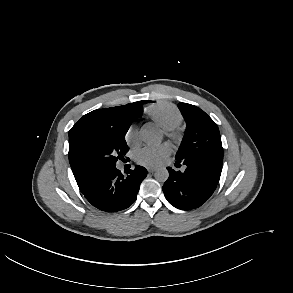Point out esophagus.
Here are the masks:
<instances>
[{"instance_id": "esophagus-1", "label": "esophagus", "mask_w": 293, "mask_h": 293, "mask_svg": "<svg viewBox=\"0 0 293 293\" xmlns=\"http://www.w3.org/2000/svg\"><path fill=\"white\" fill-rule=\"evenodd\" d=\"M147 170L149 173H153L157 170V168L156 167H147Z\"/></svg>"}]
</instances>
